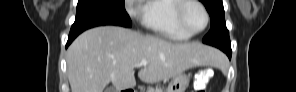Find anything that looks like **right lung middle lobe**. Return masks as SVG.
Masks as SVG:
<instances>
[{
    "mask_svg": "<svg viewBox=\"0 0 296 92\" xmlns=\"http://www.w3.org/2000/svg\"><path fill=\"white\" fill-rule=\"evenodd\" d=\"M99 25L131 27L124 0H79L73 27L89 28Z\"/></svg>",
    "mask_w": 296,
    "mask_h": 92,
    "instance_id": "obj_1",
    "label": "right lung middle lobe"
}]
</instances>
